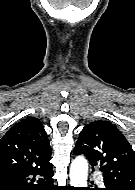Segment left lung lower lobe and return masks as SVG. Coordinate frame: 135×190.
I'll list each match as a JSON object with an SVG mask.
<instances>
[{"mask_svg": "<svg viewBox=\"0 0 135 190\" xmlns=\"http://www.w3.org/2000/svg\"><path fill=\"white\" fill-rule=\"evenodd\" d=\"M94 171V170H93ZM106 186V188H104L103 190H115V189H113V188H111V187H109V186H107V185H105Z\"/></svg>", "mask_w": 135, "mask_h": 190, "instance_id": "1", "label": "left lung lower lobe"}]
</instances>
